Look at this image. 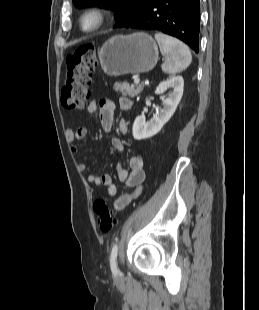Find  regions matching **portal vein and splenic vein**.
<instances>
[{
  "mask_svg": "<svg viewBox=\"0 0 259 310\" xmlns=\"http://www.w3.org/2000/svg\"><path fill=\"white\" fill-rule=\"evenodd\" d=\"M139 82H140V79H139V78H135V79H134V83H135V84H138Z\"/></svg>",
  "mask_w": 259,
  "mask_h": 310,
  "instance_id": "18ae733b",
  "label": "portal vein and splenic vein"
}]
</instances>
